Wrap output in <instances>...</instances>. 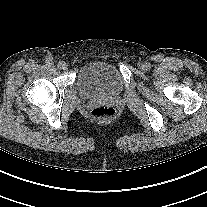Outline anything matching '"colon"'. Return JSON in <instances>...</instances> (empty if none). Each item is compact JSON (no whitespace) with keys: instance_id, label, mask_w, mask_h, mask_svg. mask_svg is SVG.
I'll list each match as a JSON object with an SVG mask.
<instances>
[{"instance_id":"1","label":"colon","mask_w":207,"mask_h":207,"mask_svg":"<svg viewBox=\"0 0 207 207\" xmlns=\"http://www.w3.org/2000/svg\"><path fill=\"white\" fill-rule=\"evenodd\" d=\"M115 116V110L110 106H98L91 111L93 120L99 123H107Z\"/></svg>"}]
</instances>
